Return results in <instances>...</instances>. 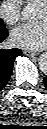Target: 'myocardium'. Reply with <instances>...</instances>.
<instances>
[{
	"label": "myocardium",
	"mask_w": 47,
	"mask_h": 129,
	"mask_svg": "<svg viewBox=\"0 0 47 129\" xmlns=\"http://www.w3.org/2000/svg\"><path fill=\"white\" fill-rule=\"evenodd\" d=\"M42 6H44V8H46V0L44 2L41 3Z\"/></svg>",
	"instance_id": "myocardium-1"
}]
</instances>
